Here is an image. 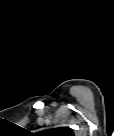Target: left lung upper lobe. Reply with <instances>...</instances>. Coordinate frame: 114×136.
<instances>
[{
	"instance_id": "obj_1",
	"label": "left lung upper lobe",
	"mask_w": 114,
	"mask_h": 136,
	"mask_svg": "<svg viewBox=\"0 0 114 136\" xmlns=\"http://www.w3.org/2000/svg\"><path fill=\"white\" fill-rule=\"evenodd\" d=\"M46 136H74L72 129L69 127H59L45 131Z\"/></svg>"
}]
</instances>
